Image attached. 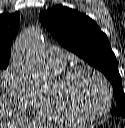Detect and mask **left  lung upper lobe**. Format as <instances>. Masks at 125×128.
I'll list each match as a JSON object with an SVG mask.
<instances>
[{
    "instance_id": "obj_1",
    "label": "left lung upper lobe",
    "mask_w": 125,
    "mask_h": 128,
    "mask_svg": "<svg viewBox=\"0 0 125 128\" xmlns=\"http://www.w3.org/2000/svg\"><path fill=\"white\" fill-rule=\"evenodd\" d=\"M39 20L61 45L100 70L111 82L118 107L112 112L125 117V94L116 57L106 34L95 21L76 10L57 5L39 14Z\"/></svg>"
}]
</instances>
